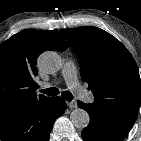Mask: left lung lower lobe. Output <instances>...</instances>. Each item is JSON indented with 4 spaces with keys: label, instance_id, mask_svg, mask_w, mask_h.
I'll return each instance as SVG.
<instances>
[{
    "label": "left lung lower lobe",
    "instance_id": "obj_1",
    "mask_svg": "<svg viewBox=\"0 0 141 141\" xmlns=\"http://www.w3.org/2000/svg\"><path fill=\"white\" fill-rule=\"evenodd\" d=\"M78 105L90 115V123L82 132L84 141H122L136 118L133 112H112L81 101H78Z\"/></svg>",
    "mask_w": 141,
    "mask_h": 141
}]
</instances>
